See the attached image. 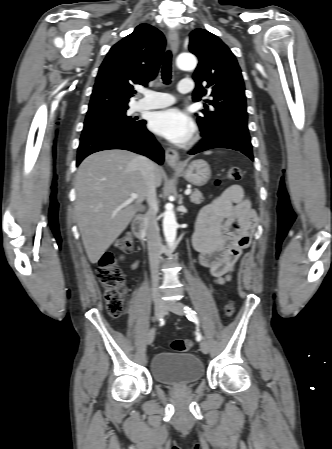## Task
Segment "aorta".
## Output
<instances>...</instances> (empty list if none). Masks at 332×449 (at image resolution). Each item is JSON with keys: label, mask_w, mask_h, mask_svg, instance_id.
Instances as JSON below:
<instances>
[{"label": "aorta", "mask_w": 332, "mask_h": 449, "mask_svg": "<svg viewBox=\"0 0 332 449\" xmlns=\"http://www.w3.org/2000/svg\"><path fill=\"white\" fill-rule=\"evenodd\" d=\"M177 67L181 70H194L197 65V59L189 53L180 54L177 57ZM163 232L168 246L174 245L177 233V222L172 204H167L163 214Z\"/></svg>", "instance_id": "aorta-1"}]
</instances>
